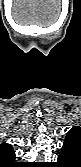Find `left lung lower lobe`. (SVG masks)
Returning a JSON list of instances; mask_svg holds the SVG:
<instances>
[{
	"mask_svg": "<svg viewBox=\"0 0 81 167\" xmlns=\"http://www.w3.org/2000/svg\"><path fill=\"white\" fill-rule=\"evenodd\" d=\"M81 153L74 146L63 144L56 167H79Z\"/></svg>",
	"mask_w": 81,
	"mask_h": 167,
	"instance_id": "obj_1",
	"label": "left lung lower lobe"
}]
</instances>
